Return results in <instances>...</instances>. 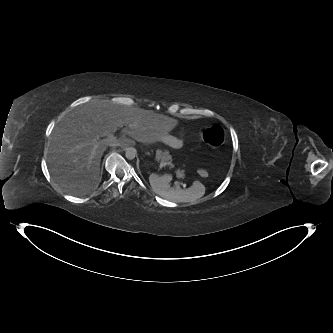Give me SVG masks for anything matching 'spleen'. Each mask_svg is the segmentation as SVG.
Masks as SVG:
<instances>
[{"label": "spleen", "instance_id": "3e777b00", "mask_svg": "<svg viewBox=\"0 0 333 333\" xmlns=\"http://www.w3.org/2000/svg\"><path fill=\"white\" fill-rule=\"evenodd\" d=\"M172 180V176L164 174L162 176L158 174H151L149 177L150 185L153 191L159 196L175 201V202H193L201 198L205 194L204 185L195 181L193 185L187 189H181L175 185L170 186L169 182Z\"/></svg>", "mask_w": 333, "mask_h": 333}]
</instances>
